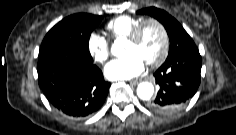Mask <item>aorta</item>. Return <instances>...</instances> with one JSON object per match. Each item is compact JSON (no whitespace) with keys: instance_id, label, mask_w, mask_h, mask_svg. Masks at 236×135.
Returning <instances> with one entry per match:
<instances>
[{"instance_id":"obj_1","label":"aorta","mask_w":236,"mask_h":135,"mask_svg":"<svg viewBox=\"0 0 236 135\" xmlns=\"http://www.w3.org/2000/svg\"><path fill=\"white\" fill-rule=\"evenodd\" d=\"M121 44L115 41L112 45L111 52L113 55H118V50ZM154 87L150 82H142L137 86V95L142 100H149L153 96Z\"/></svg>"}]
</instances>
